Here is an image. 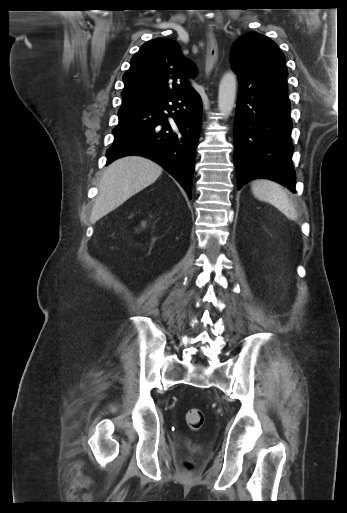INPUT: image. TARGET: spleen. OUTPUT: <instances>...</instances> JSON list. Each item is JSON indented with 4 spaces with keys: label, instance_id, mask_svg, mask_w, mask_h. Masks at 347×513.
Instances as JSON below:
<instances>
[{
    "label": "spleen",
    "instance_id": "3e777b00",
    "mask_svg": "<svg viewBox=\"0 0 347 513\" xmlns=\"http://www.w3.org/2000/svg\"><path fill=\"white\" fill-rule=\"evenodd\" d=\"M253 195L262 201L278 208L288 218L295 220L296 210L286 191L276 182L267 179H257L251 185Z\"/></svg>",
    "mask_w": 347,
    "mask_h": 513
}]
</instances>
